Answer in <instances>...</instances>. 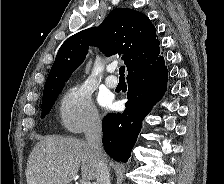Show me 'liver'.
Masks as SVG:
<instances>
[{
	"instance_id": "obj_1",
	"label": "liver",
	"mask_w": 224,
	"mask_h": 184,
	"mask_svg": "<svg viewBox=\"0 0 224 184\" xmlns=\"http://www.w3.org/2000/svg\"><path fill=\"white\" fill-rule=\"evenodd\" d=\"M81 167L82 179L96 178L97 159L87 142L50 135L33 148L27 163V184H69Z\"/></svg>"
}]
</instances>
